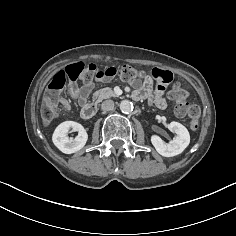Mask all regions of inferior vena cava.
<instances>
[{
  "label": "inferior vena cava",
  "instance_id": "1",
  "mask_svg": "<svg viewBox=\"0 0 236 236\" xmlns=\"http://www.w3.org/2000/svg\"><path fill=\"white\" fill-rule=\"evenodd\" d=\"M101 108L104 111H110L114 108V102L112 100H105L101 104Z\"/></svg>",
  "mask_w": 236,
  "mask_h": 236
}]
</instances>
